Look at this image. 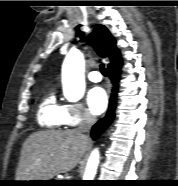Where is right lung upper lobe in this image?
Returning <instances> with one entry per match:
<instances>
[{
    "label": "right lung upper lobe",
    "instance_id": "1",
    "mask_svg": "<svg viewBox=\"0 0 178 186\" xmlns=\"http://www.w3.org/2000/svg\"><path fill=\"white\" fill-rule=\"evenodd\" d=\"M88 43L94 47L100 57L110 59L108 68L122 64L116 40L104 25L95 26L94 31L88 37Z\"/></svg>",
    "mask_w": 178,
    "mask_h": 186
}]
</instances>
